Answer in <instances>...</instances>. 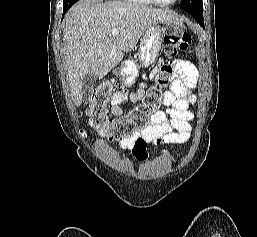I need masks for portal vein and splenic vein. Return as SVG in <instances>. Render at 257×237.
I'll return each instance as SVG.
<instances>
[{"label": "portal vein and splenic vein", "mask_w": 257, "mask_h": 237, "mask_svg": "<svg viewBox=\"0 0 257 237\" xmlns=\"http://www.w3.org/2000/svg\"><path fill=\"white\" fill-rule=\"evenodd\" d=\"M119 30L118 29H113L112 31H111V34H112V36L113 37H115V36H117L118 34H119Z\"/></svg>", "instance_id": "1"}]
</instances>
